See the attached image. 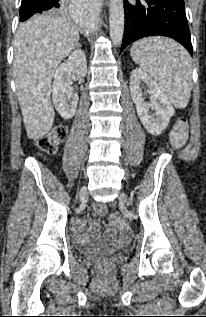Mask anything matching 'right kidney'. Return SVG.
<instances>
[{
    "label": "right kidney",
    "mask_w": 206,
    "mask_h": 317,
    "mask_svg": "<svg viewBox=\"0 0 206 317\" xmlns=\"http://www.w3.org/2000/svg\"><path fill=\"white\" fill-rule=\"evenodd\" d=\"M87 73V60L82 50H75L68 60L62 63L54 73L52 100L60 116L72 118L77 109L78 95L70 88L72 74L84 77Z\"/></svg>",
    "instance_id": "obj_1"
}]
</instances>
